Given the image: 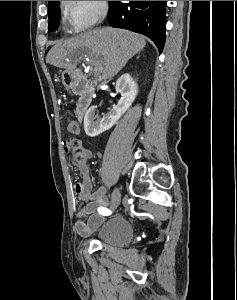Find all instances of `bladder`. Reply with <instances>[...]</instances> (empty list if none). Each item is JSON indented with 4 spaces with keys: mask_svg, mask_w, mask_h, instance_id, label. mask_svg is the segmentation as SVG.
<instances>
[{
    "mask_svg": "<svg viewBox=\"0 0 237 300\" xmlns=\"http://www.w3.org/2000/svg\"><path fill=\"white\" fill-rule=\"evenodd\" d=\"M133 236V225L123 216L106 220L93 235L98 242L117 247L128 245Z\"/></svg>",
    "mask_w": 237,
    "mask_h": 300,
    "instance_id": "bladder-1",
    "label": "bladder"
}]
</instances>
